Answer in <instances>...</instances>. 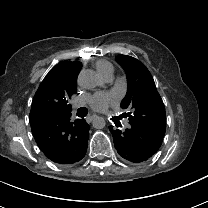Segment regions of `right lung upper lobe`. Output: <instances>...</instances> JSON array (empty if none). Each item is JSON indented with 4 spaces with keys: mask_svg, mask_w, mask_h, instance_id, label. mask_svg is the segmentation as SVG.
<instances>
[{
    "mask_svg": "<svg viewBox=\"0 0 208 208\" xmlns=\"http://www.w3.org/2000/svg\"><path fill=\"white\" fill-rule=\"evenodd\" d=\"M82 63L62 61L54 66L40 84L32 101L31 116L71 115L68 100L76 93L77 76Z\"/></svg>",
    "mask_w": 208,
    "mask_h": 208,
    "instance_id": "1",
    "label": "right lung upper lobe"
}]
</instances>
